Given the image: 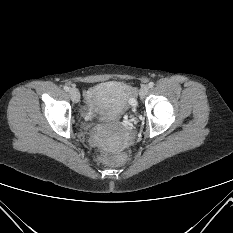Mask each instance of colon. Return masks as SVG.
<instances>
[{"mask_svg":"<svg viewBox=\"0 0 233 233\" xmlns=\"http://www.w3.org/2000/svg\"><path fill=\"white\" fill-rule=\"evenodd\" d=\"M100 160L102 162H105V163H110V164H113V163H116L117 162V158L112 156V155H109L108 153L106 152H102L101 155H100Z\"/></svg>","mask_w":233,"mask_h":233,"instance_id":"1","label":"colon"}]
</instances>
